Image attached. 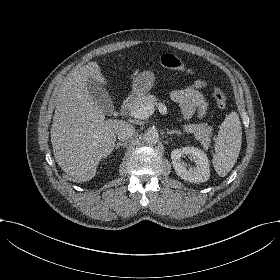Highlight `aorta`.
Segmentation results:
<instances>
[{"instance_id":"obj_1","label":"aorta","mask_w":280,"mask_h":280,"mask_svg":"<svg viewBox=\"0 0 280 280\" xmlns=\"http://www.w3.org/2000/svg\"><path fill=\"white\" fill-rule=\"evenodd\" d=\"M143 140L147 144H156L159 140V134L156 129H149L144 133Z\"/></svg>"}]
</instances>
